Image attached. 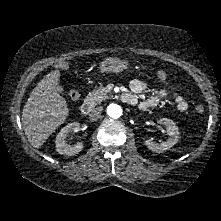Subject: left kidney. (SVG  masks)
<instances>
[{
    "label": "left kidney",
    "mask_w": 221,
    "mask_h": 221,
    "mask_svg": "<svg viewBox=\"0 0 221 221\" xmlns=\"http://www.w3.org/2000/svg\"><path fill=\"white\" fill-rule=\"evenodd\" d=\"M157 122L166 127L167 133L170 136V138L167 141L162 142L161 144L154 143L151 140H144V145H146L149 149H151L154 152L161 153L165 150L170 149L173 145H175L178 142L180 132L179 128L171 119L163 118L158 120Z\"/></svg>",
    "instance_id": "left-kidney-1"
}]
</instances>
